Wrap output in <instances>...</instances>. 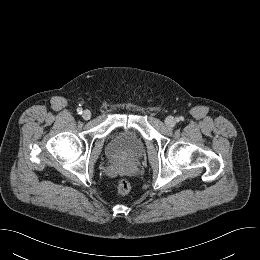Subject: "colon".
Returning <instances> with one entry per match:
<instances>
[{"instance_id": "1", "label": "colon", "mask_w": 260, "mask_h": 260, "mask_svg": "<svg viewBox=\"0 0 260 260\" xmlns=\"http://www.w3.org/2000/svg\"><path fill=\"white\" fill-rule=\"evenodd\" d=\"M116 190L119 195H127L131 190V184L128 180L121 179L117 183Z\"/></svg>"}]
</instances>
